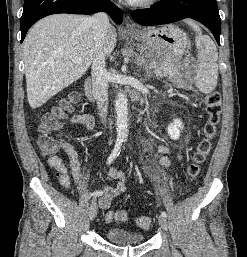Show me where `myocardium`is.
Returning a JSON list of instances; mask_svg holds the SVG:
<instances>
[{
	"label": "myocardium",
	"instance_id": "f54148a6",
	"mask_svg": "<svg viewBox=\"0 0 247 257\" xmlns=\"http://www.w3.org/2000/svg\"><path fill=\"white\" fill-rule=\"evenodd\" d=\"M158 1L159 0H138V1L130 2V3L133 6L146 8V7H150L154 4H156Z\"/></svg>",
	"mask_w": 247,
	"mask_h": 257
}]
</instances>
